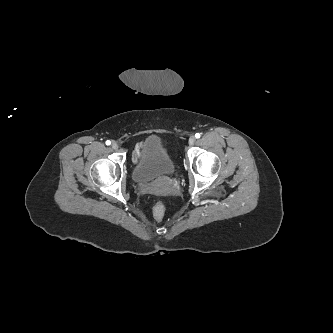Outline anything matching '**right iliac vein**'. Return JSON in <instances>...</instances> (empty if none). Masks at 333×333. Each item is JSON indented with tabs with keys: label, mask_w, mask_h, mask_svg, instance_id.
Segmentation results:
<instances>
[{
	"label": "right iliac vein",
	"mask_w": 333,
	"mask_h": 333,
	"mask_svg": "<svg viewBox=\"0 0 333 333\" xmlns=\"http://www.w3.org/2000/svg\"><path fill=\"white\" fill-rule=\"evenodd\" d=\"M111 147L112 149L116 150L118 149V144L116 142H112Z\"/></svg>",
	"instance_id": "obj_1"
}]
</instances>
